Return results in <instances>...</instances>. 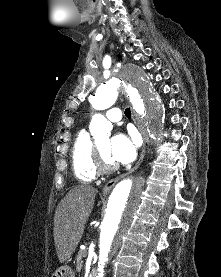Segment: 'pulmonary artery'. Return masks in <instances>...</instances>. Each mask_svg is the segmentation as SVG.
Listing matches in <instances>:
<instances>
[{"label":"pulmonary artery","mask_w":221,"mask_h":277,"mask_svg":"<svg viewBox=\"0 0 221 277\" xmlns=\"http://www.w3.org/2000/svg\"><path fill=\"white\" fill-rule=\"evenodd\" d=\"M106 117L111 122H119L122 119V112L119 108H112L106 112Z\"/></svg>","instance_id":"pulmonary-artery-1"}]
</instances>
